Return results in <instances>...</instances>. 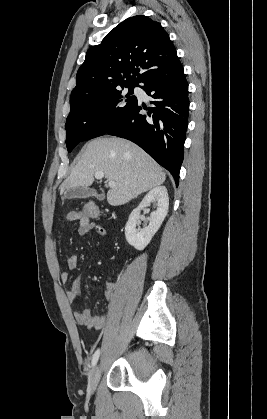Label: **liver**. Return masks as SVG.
<instances>
[{
  "label": "liver",
  "mask_w": 267,
  "mask_h": 419,
  "mask_svg": "<svg viewBox=\"0 0 267 419\" xmlns=\"http://www.w3.org/2000/svg\"><path fill=\"white\" fill-rule=\"evenodd\" d=\"M97 172H103L116 184L107 193L112 206L126 204L166 179L162 168L139 146L122 138L104 137L85 145L60 194L70 188L90 186Z\"/></svg>",
  "instance_id": "obj_1"
}]
</instances>
